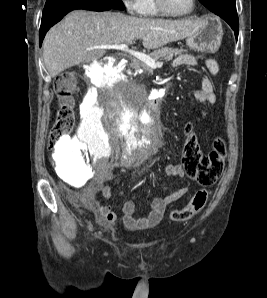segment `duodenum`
I'll list each match as a JSON object with an SVG mask.
<instances>
[{
  "label": "duodenum",
  "instance_id": "410a0bca",
  "mask_svg": "<svg viewBox=\"0 0 267 298\" xmlns=\"http://www.w3.org/2000/svg\"><path fill=\"white\" fill-rule=\"evenodd\" d=\"M122 67L125 66V62L121 63ZM108 87H115V82H108ZM161 103V98H147V100H144V105H151L149 107V115H154V112H160V109H164V104Z\"/></svg>",
  "mask_w": 267,
  "mask_h": 298
}]
</instances>
